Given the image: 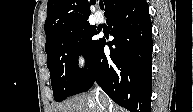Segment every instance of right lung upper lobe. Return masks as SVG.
Here are the masks:
<instances>
[{"mask_svg": "<svg viewBox=\"0 0 193 112\" xmlns=\"http://www.w3.org/2000/svg\"><path fill=\"white\" fill-rule=\"evenodd\" d=\"M127 1L129 0H103L105 17L108 18ZM95 3L96 0H48L45 21L46 42L65 29L89 24L90 5Z\"/></svg>", "mask_w": 193, "mask_h": 112, "instance_id": "cb5924a9", "label": "right lung upper lobe"}]
</instances>
